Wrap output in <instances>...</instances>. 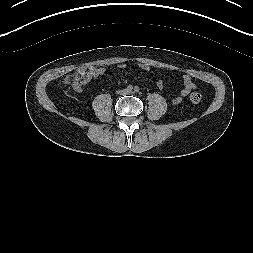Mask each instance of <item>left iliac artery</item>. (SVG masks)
Instances as JSON below:
<instances>
[{"label":"left iliac artery","instance_id":"1","mask_svg":"<svg viewBox=\"0 0 253 253\" xmlns=\"http://www.w3.org/2000/svg\"><path fill=\"white\" fill-rule=\"evenodd\" d=\"M140 89H139V87L138 86H136L135 88H134V91L135 92H138Z\"/></svg>","mask_w":253,"mask_h":253}]
</instances>
